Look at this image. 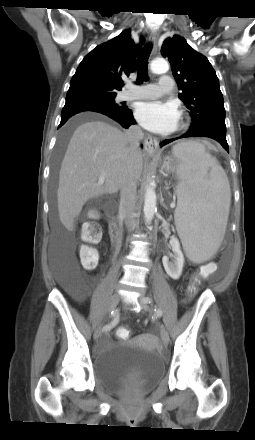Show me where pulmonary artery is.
<instances>
[{
	"label": "pulmonary artery",
	"instance_id": "1",
	"mask_svg": "<svg viewBox=\"0 0 255 440\" xmlns=\"http://www.w3.org/2000/svg\"><path fill=\"white\" fill-rule=\"evenodd\" d=\"M173 86V78L170 75H162L157 84H146L139 87H132L128 91L122 92L120 95V99H154L165 93L170 92Z\"/></svg>",
	"mask_w": 255,
	"mask_h": 440
}]
</instances>
